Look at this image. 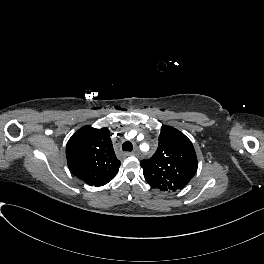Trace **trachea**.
I'll return each mask as SVG.
<instances>
[{
	"mask_svg": "<svg viewBox=\"0 0 264 264\" xmlns=\"http://www.w3.org/2000/svg\"><path fill=\"white\" fill-rule=\"evenodd\" d=\"M122 149H123V151H129L130 152L133 150V145L131 142L126 141L122 144Z\"/></svg>",
	"mask_w": 264,
	"mask_h": 264,
	"instance_id": "3493384b",
	"label": "trachea"
}]
</instances>
